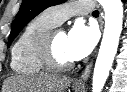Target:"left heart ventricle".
<instances>
[{"mask_svg":"<svg viewBox=\"0 0 127 92\" xmlns=\"http://www.w3.org/2000/svg\"><path fill=\"white\" fill-rule=\"evenodd\" d=\"M54 47L56 55L60 60H72L67 51V34L64 31H60L56 34L54 39Z\"/></svg>","mask_w":127,"mask_h":92,"instance_id":"obj_1","label":"left heart ventricle"}]
</instances>
